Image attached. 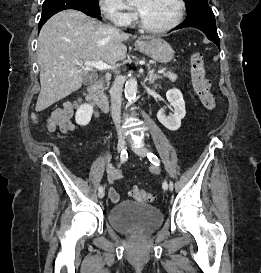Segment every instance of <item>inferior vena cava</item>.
I'll use <instances>...</instances> for the list:
<instances>
[{"label": "inferior vena cava", "mask_w": 261, "mask_h": 273, "mask_svg": "<svg viewBox=\"0 0 261 273\" xmlns=\"http://www.w3.org/2000/svg\"><path fill=\"white\" fill-rule=\"evenodd\" d=\"M122 88H123L122 77L116 76L114 83L110 89V97H111V115L115 123L119 137H123V131L121 130Z\"/></svg>", "instance_id": "1"}]
</instances>
